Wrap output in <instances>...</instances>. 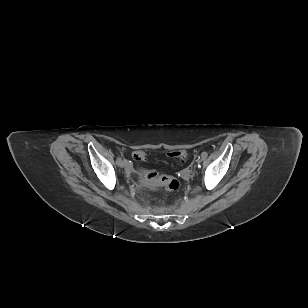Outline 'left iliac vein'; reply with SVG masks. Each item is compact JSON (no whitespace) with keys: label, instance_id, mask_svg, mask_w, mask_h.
Wrapping results in <instances>:
<instances>
[{"label":"left iliac vein","instance_id":"1","mask_svg":"<svg viewBox=\"0 0 308 308\" xmlns=\"http://www.w3.org/2000/svg\"><path fill=\"white\" fill-rule=\"evenodd\" d=\"M197 162H198V163H201V162H202V158H198V159H197Z\"/></svg>","mask_w":308,"mask_h":308}]
</instances>
